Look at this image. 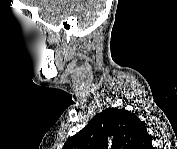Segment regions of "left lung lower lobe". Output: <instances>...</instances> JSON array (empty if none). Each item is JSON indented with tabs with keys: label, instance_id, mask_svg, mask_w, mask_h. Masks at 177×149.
I'll return each mask as SVG.
<instances>
[{
	"label": "left lung lower lobe",
	"instance_id": "obj_1",
	"mask_svg": "<svg viewBox=\"0 0 177 149\" xmlns=\"http://www.w3.org/2000/svg\"><path fill=\"white\" fill-rule=\"evenodd\" d=\"M142 147L144 149H152L151 138H150V135L148 133L145 134V136L143 138V145H142Z\"/></svg>",
	"mask_w": 177,
	"mask_h": 149
}]
</instances>
